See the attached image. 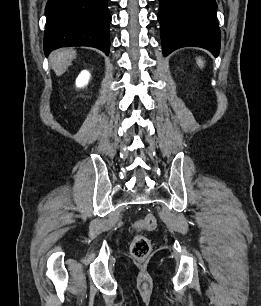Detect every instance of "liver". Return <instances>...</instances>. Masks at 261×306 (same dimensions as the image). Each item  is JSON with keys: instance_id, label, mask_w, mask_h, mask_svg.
<instances>
[{"instance_id": "1", "label": "liver", "mask_w": 261, "mask_h": 306, "mask_svg": "<svg viewBox=\"0 0 261 306\" xmlns=\"http://www.w3.org/2000/svg\"><path fill=\"white\" fill-rule=\"evenodd\" d=\"M76 58L74 49H64L62 51L53 52L50 57V64L57 76H61Z\"/></svg>"}]
</instances>
